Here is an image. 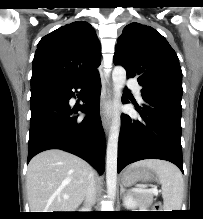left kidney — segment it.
<instances>
[{"label":"left kidney","instance_id":"5707ae66","mask_svg":"<svg viewBox=\"0 0 203 219\" xmlns=\"http://www.w3.org/2000/svg\"><path fill=\"white\" fill-rule=\"evenodd\" d=\"M123 203H124V206L129 209L137 207V202L133 199L131 195L125 196Z\"/></svg>","mask_w":203,"mask_h":219}]
</instances>
